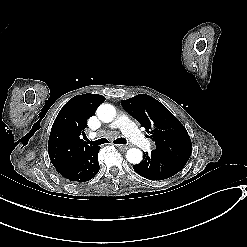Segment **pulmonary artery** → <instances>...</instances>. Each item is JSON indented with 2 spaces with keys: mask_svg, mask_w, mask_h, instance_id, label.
I'll return each instance as SVG.
<instances>
[{
  "mask_svg": "<svg viewBox=\"0 0 247 247\" xmlns=\"http://www.w3.org/2000/svg\"><path fill=\"white\" fill-rule=\"evenodd\" d=\"M109 128L119 129L132 144L141 146L143 149L151 150L156 148L154 142L144 138V132L140 129L139 124L134 122L126 112L119 111Z\"/></svg>",
  "mask_w": 247,
  "mask_h": 247,
  "instance_id": "1",
  "label": "pulmonary artery"
}]
</instances>
